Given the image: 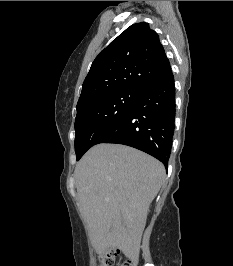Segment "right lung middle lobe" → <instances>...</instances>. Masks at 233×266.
I'll return each instance as SVG.
<instances>
[{
    "instance_id": "right-lung-middle-lobe-1",
    "label": "right lung middle lobe",
    "mask_w": 233,
    "mask_h": 266,
    "mask_svg": "<svg viewBox=\"0 0 233 266\" xmlns=\"http://www.w3.org/2000/svg\"><path fill=\"white\" fill-rule=\"evenodd\" d=\"M142 90L120 89L95 95L77 104L75 151L77 160L132 107Z\"/></svg>"
}]
</instances>
